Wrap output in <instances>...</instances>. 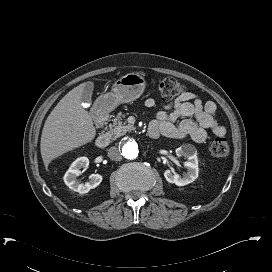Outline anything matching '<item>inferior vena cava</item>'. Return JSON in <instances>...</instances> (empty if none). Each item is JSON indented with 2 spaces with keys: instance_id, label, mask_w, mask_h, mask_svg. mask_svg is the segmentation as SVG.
I'll return each mask as SVG.
<instances>
[{
  "instance_id": "inferior-vena-cava-1",
  "label": "inferior vena cava",
  "mask_w": 272,
  "mask_h": 272,
  "mask_svg": "<svg viewBox=\"0 0 272 272\" xmlns=\"http://www.w3.org/2000/svg\"><path fill=\"white\" fill-rule=\"evenodd\" d=\"M108 157L115 161H120L122 159L121 151L117 147H110L108 150Z\"/></svg>"
}]
</instances>
